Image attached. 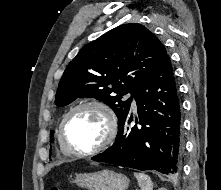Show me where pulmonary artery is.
I'll list each match as a JSON object with an SVG mask.
<instances>
[{
    "label": "pulmonary artery",
    "mask_w": 221,
    "mask_h": 190,
    "mask_svg": "<svg viewBox=\"0 0 221 190\" xmlns=\"http://www.w3.org/2000/svg\"><path fill=\"white\" fill-rule=\"evenodd\" d=\"M133 105H134V106L136 105L135 101H133Z\"/></svg>",
    "instance_id": "obj_1"
}]
</instances>
